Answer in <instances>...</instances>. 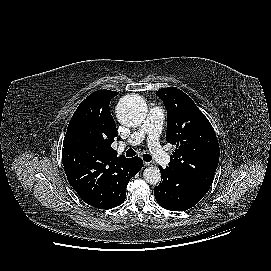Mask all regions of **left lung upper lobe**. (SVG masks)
Here are the masks:
<instances>
[{"label": "left lung upper lobe", "mask_w": 271, "mask_h": 271, "mask_svg": "<svg viewBox=\"0 0 271 271\" xmlns=\"http://www.w3.org/2000/svg\"><path fill=\"white\" fill-rule=\"evenodd\" d=\"M156 95L167 109L166 141L176 145L169 166L211 186L220 153L212 125L183 91L162 88Z\"/></svg>", "instance_id": "obj_1"}]
</instances>
